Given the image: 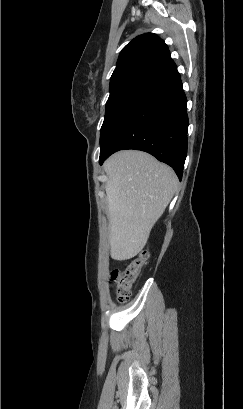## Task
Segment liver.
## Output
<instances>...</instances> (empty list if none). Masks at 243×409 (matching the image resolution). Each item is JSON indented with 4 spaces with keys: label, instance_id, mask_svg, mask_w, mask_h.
<instances>
[{
    "label": "liver",
    "instance_id": "obj_1",
    "mask_svg": "<svg viewBox=\"0 0 243 409\" xmlns=\"http://www.w3.org/2000/svg\"><path fill=\"white\" fill-rule=\"evenodd\" d=\"M110 255L124 261L146 245L178 184L174 171L142 151L124 150L104 163Z\"/></svg>",
    "mask_w": 243,
    "mask_h": 409
}]
</instances>
